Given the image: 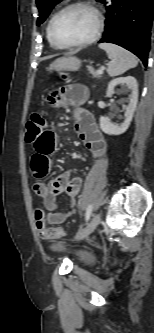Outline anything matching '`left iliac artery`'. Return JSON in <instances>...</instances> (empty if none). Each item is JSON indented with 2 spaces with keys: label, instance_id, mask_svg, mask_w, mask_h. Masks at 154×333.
Segmentation results:
<instances>
[{
  "label": "left iliac artery",
  "instance_id": "1",
  "mask_svg": "<svg viewBox=\"0 0 154 333\" xmlns=\"http://www.w3.org/2000/svg\"><path fill=\"white\" fill-rule=\"evenodd\" d=\"M92 209H93V206L92 204H90L88 207H87V210H86V213H85V220L88 221L90 219V216L92 214Z\"/></svg>",
  "mask_w": 154,
  "mask_h": 333
}]
</instances>
